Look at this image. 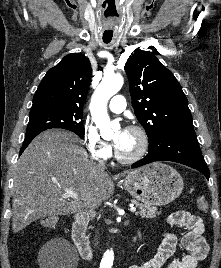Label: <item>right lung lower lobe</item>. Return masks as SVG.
I'll use <instances>...</instances> for the list:
<instances>
[{
    "label": "right lung lower lobe",
    "instance_id": "98d812e1",
    "mask_svg": "<svg viewBox=\"0 0 221 268\" xmlns=\"http://www.w3.org/2000/svg\"><path fill=\"white\" fill-rule=\"evenodd\" d=\"M40 132H42V131L26 132L24 143L20 149V155L26 149V147L29 145V143L34 139V137L37 136Z\"/></svg>",
    "mask_w": 221,
    "mask_h": 268
}]
</instances>
